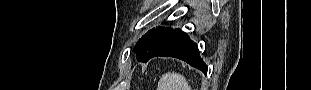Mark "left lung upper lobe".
<instances>
[{
    "instance_id": "5c2ea615",
    "label": "left lung upper lobe",
    "mask_w": 311,
    "mask_h": 90,
    "mask_svg": "<svg viewBox=\"0 0 311 90\" xmlns=\"http://www.w3.org/2000/svg\"><path fill=\"white\" fill-rule=\"evenodd\" d=\"M172 31V28H161L149 30L136 43L133 51L137 54L138 61L144 62L152 53L154 48Z\"/></svg>"
}]
</instances>
